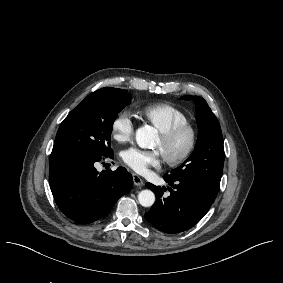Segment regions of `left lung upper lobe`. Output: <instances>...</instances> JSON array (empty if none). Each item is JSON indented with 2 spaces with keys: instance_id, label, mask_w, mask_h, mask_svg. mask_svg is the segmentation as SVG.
Here are the masks:
<instances>
[{
  "instance_id": "obj_1",
  "label": "left lung upper lobe",
  "mask_w": 283,
  "mask_h": 283,
  "mask_svg": "<svg viewBox=\"0 0 283 283\" xmlns=\"http://www.w3.org/2000/svg\"><path fill=\"white\" fill-rule=\"evenodd\" d=\"M181 99L196 103L198 140L191 156L165 175L173 181L194 182L202 191L217 196L224 164L223 137L218 119L203 98L182 96Z\"/></svg>"
}]
</instances>
